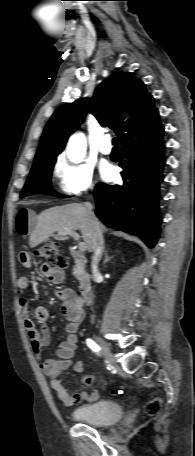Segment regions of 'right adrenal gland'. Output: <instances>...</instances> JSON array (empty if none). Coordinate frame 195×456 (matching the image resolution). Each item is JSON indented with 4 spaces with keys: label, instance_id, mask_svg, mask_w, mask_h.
<instances>
[{
    "label": "right adrenal gland",
    "instance_id": "obj_1",
    "mask_svg": "<svg viewBox=\"0 0 195 456\" xmlns=\"http://www.w3.org/2000/svg\"><path fill=\"white\" fill-rule=\"evenodd\" d=\"M104 255H105L104 263H106V262H108L111 259V257L108 256V251L107 250L104 251Z\"/></svg>",
    "mask_w": 195,
    "mask_h": 456
}]
</instances>
